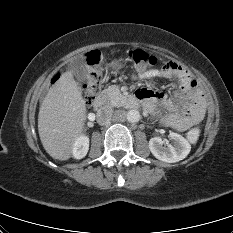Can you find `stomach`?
<instances>
[{"label": "stomach", "mask_w": 233, "mask_h": 233, "mask_svg": "<svg viewBox=\"0 0 233 233\" xmlns=\"http://www.w3.org/2000/svg\"><path fill=\"white\" fill-rule=\"evenodd\" d=\"M112 67L115 68V69H120L122 67V63L120 60H115L112 62Z\"/></svg>", "instance_id": "1"}]
</instances>
